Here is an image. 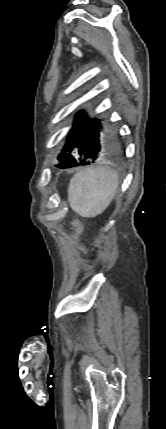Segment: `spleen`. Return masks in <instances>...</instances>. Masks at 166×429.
Returning a JSON list of instances; mask_svg holds the SVG:
<instances>
[{
  "label": "spleen",
  "mask_w": 166,
  "mask_h": 429,
  "mask_svg": "<svg viewBox=\"0 0 166 429\" xmlns=\"http://www.w3.org/2000/svg\"><path fill=\"white\" fill-rule=\"evenodd\" d=\"M119 187V175L108 167H88L73 175L68 200L73 211L95 217L109 206Z\"/></svg>",
  "instance_id": "obj_1"
}]
</instances>
